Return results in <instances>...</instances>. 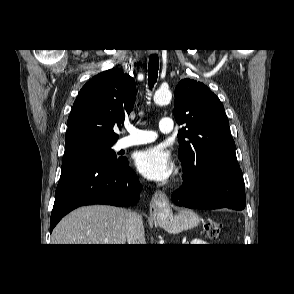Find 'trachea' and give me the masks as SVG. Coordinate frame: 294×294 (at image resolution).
I'll list each match as a JSON object with an SVG mask.
<instances>
[{
  "mask_svg": "<svg viewBox=\"0 0 294 294\" xmlns=\"http://www.w3.org/2000/svg\"><path fill=\"white\" fill-rule=\"evenodd\" d=\"M159 61L157 55H151L148 63V81L150 88L154 86L158 77Z\"/></svg>",
  "mask_w": 294,
  "mask_h": 294,
  "instance_id": "obj_1",
  "label": "trachea"
}]
</instances>
